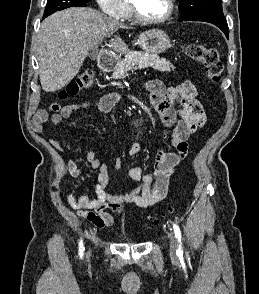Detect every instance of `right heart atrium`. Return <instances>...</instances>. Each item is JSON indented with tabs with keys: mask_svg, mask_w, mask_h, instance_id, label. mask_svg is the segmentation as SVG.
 <instances>
[{
	"mask_svg": "<svg viewBox=\"0 0 259 294\" xmlns=\"http://www.w3.org/2000/svg\"><path fill=\"white\" fill-rule=\"evenodd\" d=\"M104 14L122 20L125 18L129 6L126 0H96Z\"/></svg>",
	"mask_w": 259,
	"mask_h": 294,
	"instance_id": "right-heart-atrium-1",
	"label": "right heart atrium"
}]
</instances>
